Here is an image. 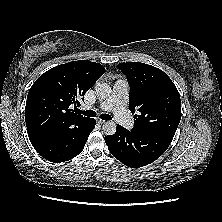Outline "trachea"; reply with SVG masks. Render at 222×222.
I'll return each instance as SVG.
<instances>
[{"mask_svg":"<svg viewBox=\"0 0 222 222\" xmlns=\"http://www.w3.org/2000/svg\"><path fill=\"white\" fill-rule=\"evenodd\" d=\"M79 113H82L83 115L88 116V117H96V112L93 110H87V111L79 110ZM99 118H101L102 120H111L112 119V117L108 114H101L99 116Z\"/></svg>","mask_w":222,"mask_h":222,"instance_id":"1","label":"trachea"}]
</instances>
